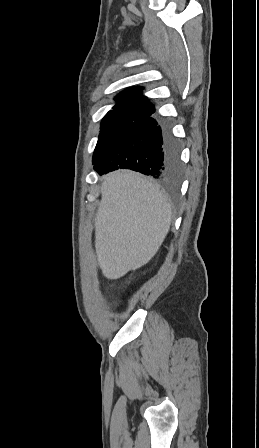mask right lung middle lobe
Returning a JSON list of instances; mask_svg holds the SVG:
<instances>
[{
  "mask_svg": "<svg viewBox=\"0 0 259 448\" xmlns=\"http://www.w3.org/2000/svg\"><path fill=\"white\" fill-rule=\"evenodd\" d=\"M140 114H107L102 119L100 134L94 150L92 163L95 164L105 149L133 122L142 118Z\"/></svg>",
  "mask_w": 259,
  "mask_h": 448,
  "instance_id": "1",
  "label": "right lung middle lobe"
}]
</instances>
